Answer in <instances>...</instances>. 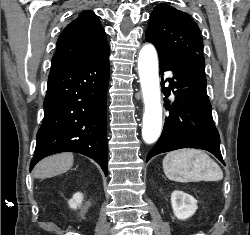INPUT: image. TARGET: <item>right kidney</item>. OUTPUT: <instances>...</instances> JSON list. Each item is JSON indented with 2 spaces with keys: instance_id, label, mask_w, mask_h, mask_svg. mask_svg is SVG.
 <instances>
[{
  "instance_id": "right-kidney-1",
  "label": "right kidney",
  "mask_w": 250,
  "mask_h": 235,
  "mask_svg": "<svg viewBox=\"0 0 250 235\" xmlns=\"http://www.w3.org/2000/svg\"><path fill=\"white\" fill-rule=\"evenodd\" d=\"M83 194L78 192L73 195V198L69 201V206L72 209H77L78 206L82 203Z\"/></svg>"
}]
</instances>
